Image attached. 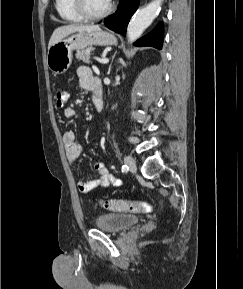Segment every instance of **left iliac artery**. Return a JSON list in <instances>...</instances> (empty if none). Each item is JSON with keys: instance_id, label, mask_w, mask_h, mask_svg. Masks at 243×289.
<instances>
[{"instance_id": "obj_1", "label": "left iliac artery", "mask_w": 243, "mask_h": 289, "mask_svg": "<svg viewBox=\"0 0 243 289\" xmlns=\"http://www.w3.org/2000/svg\"><path fill=\"white\" fill-rule=\"evenodd\" d=\"M122 172H127L129 170L127 165H123L121 168Z\"/></svg>"}]
</instances>
